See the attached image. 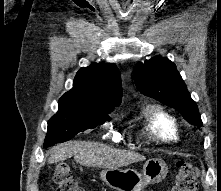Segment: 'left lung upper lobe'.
Returning <instances> with one entry per match:
<instances>
[{"label":"left lung upper lobe","mask_w":221,"mask_h":191,"mask_svg":"<svg viewBox=\"0 0 221 191\" xmlns=\"http://www.w3.org/2000/svg\"><path fill=\"white\" fill-rule=\"evenodd\" d=\"M134 81L144 95L175 108L190 124L202 126L197 105L172 61L156 56L138 63L134 68Z\"/></svg>","instance_id":"5c2ea615"}]
</instances>
